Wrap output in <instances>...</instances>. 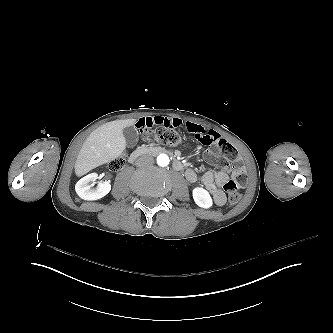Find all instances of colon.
Listing matches in <instances>:
<instances>
[{
	"label": "colon",
	"mask_w": 333,
	"mask_h": 333,
	"mask_svg": "<svg viewBox=\"0 0 333 333\" xmlns=\"http://www.w3.org/2000/svg\"><path fill=\"white\" fill-rule=\"evenodd\" d=\"M191 137L201 141L203 145H214L220 151L224 158L220 159V164L223 168L232 171L234 177L227 181L224 185V190L227 193V201L230 204H236L241 198L239 190L242 187V182L246 179L247 175L244 169V163L239 158L237 150L224 139H218L215 130L208 128L203 130L202 126L195 124L188 127ZM143 133V132H141ZM155 139L159 144L164 145H177L181 141V137L177 130L165 128L162 130H155L145 133ZM119 162L112 161L109 167L112 170L119 168Z\"/></svg>",
	"instance_id": "obj_1"
}]
</instances>
